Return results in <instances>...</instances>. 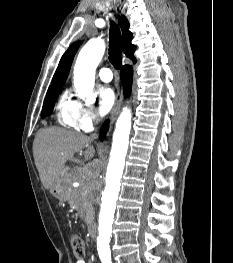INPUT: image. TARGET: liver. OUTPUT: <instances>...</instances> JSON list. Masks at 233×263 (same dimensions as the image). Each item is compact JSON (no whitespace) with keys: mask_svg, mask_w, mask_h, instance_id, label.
Masks as SVG:
<instances>
[{"mask_svg":"<svg viewBox=\"0 0 233 263\" xmlns=\"http://www.w3.org/2000/svg\"><path fill=\"white\" fill-rule=\"evenodd\" d=\"M91 138L86 135L50 127L40 130L33 143V155L41 182L45 189L51 190L57 179L64 173L67 160L86 148L84 159L95 154Z\"/></svg>","mask_w":233,"mask_h":263,"instance_id":"obj_1","label":"liver"}]
</instances>
